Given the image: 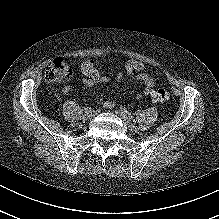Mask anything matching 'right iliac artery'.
Returning a JSON list of instances; mask_svg holds the SVG:
<instances>
[{"instance_id":"obj_1","label":"right iliac artery","mask_w":219,"mask_h":219,"mask_svg":"<svg viewBox=\"0 0 219 219\" xmlns=\"http://www.w3.org/2000/svg\"><path fill=\"white\" fill-rule=\"evenodd\" d=\"M84 111H85V113H89V112L92 111V108L91 107H85Z\"/></svg>"}]
</instances>
